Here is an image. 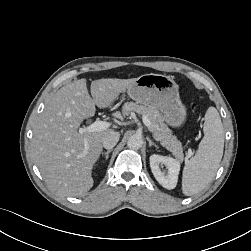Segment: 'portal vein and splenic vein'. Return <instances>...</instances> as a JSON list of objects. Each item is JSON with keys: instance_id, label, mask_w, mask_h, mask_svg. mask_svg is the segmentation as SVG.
<instances>
[{"instance_id": "18ae733b", "label": "portal vein and splenic vein", "mask_w": 251, "mask_h": 251, "mask_svg": "<svg viewBox=\"0 0 251 251\" xmlns=\"http://www.w3.org/2000/svg\"><path fill=\"white\" fill-rule=\"evenodd\" d=\"M142 121L146 127L150 128L151 122L146 115L142 116ZM109 126H110L109 122L96 120L94 123L90 124L89 126L80 128L79 132L80 133L98 132V131L106 130L107 128H109ZM84 146H85V150H87L88 149L87 139H84Z\"/></svg>"}]
</instances>
